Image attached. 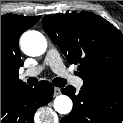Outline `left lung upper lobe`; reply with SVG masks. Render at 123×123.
<instances>
[{"label": "left lung upper lobe", "mask_w": 123, "mask_h": 123, "mask_svg": "<svg viewBox=\"0 0 123 123\" xmlns=\"http://www.w3.org/2000/svg\"><path fill=\"white\" fill-rule=\"evenodd\" d=\"M42 26L68 61L78 65L83 85L123 94V35L116 27L89 12L49 15Z\"/></svg>", "instance_id": "obj_1"}]
</instances>
